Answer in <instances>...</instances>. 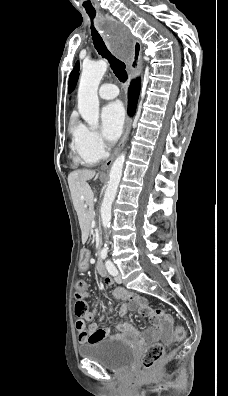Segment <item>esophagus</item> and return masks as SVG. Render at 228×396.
Wrapping results in <instances>:
<instances>
[{
    "label": "esophagus",
    "instance_id": "34e87169",
    "mask_svg": "<svg viewBox=\"0 0 228 396\" xmlns=\"http://www.w3.org/2000/svg\"><path fill=\"white\" fill-rule=\"evenodd\" d=\"M141 53H142L141 43L139 40L135 39V41L133 43V56L129 62V72H130L131 78L138 77L141 74V71H142ZM131 123H132L131 117H127L123 136H122L120 142L118 143L116 149L110 156V158L102 165V167H101L102 170H106L112 165L115 157L121 151V149L124 147L125 143L127 142L128 137H129V134H130Z\"/></svg>",
    "mask_w": 228,
    "mask_h": 396
}]
</instances>
